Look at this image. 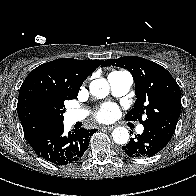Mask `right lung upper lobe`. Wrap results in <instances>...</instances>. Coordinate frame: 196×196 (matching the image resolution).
<instances>
[{
	"label": "right lung upper lobe",
	"mask_w": 196,
	"mask_h": 196,
	"mask_svg": "<svg viewBox=\"0 0 196 196\" xmlns=\"http://www.w3.org/2000/svg\"><path fill=\"white\" fill-rule=\"evenodd\" d=\"M103 60L61 58L44 63L24 80L19 90L17 112L24 135L30 143L60 126L55 104L75 99L84 80Z\"/></svg>",
	"instance_id": "right-lung-upper-lobe-1"
}]
</instances>
